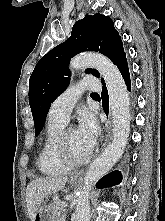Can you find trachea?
<instances>
[{"instance_id":"trachea-1","label":"trachea","mask_w":165,"mask_h":221,"mask_svg":"<svg viewBox=\"0 0 165 221\" xmlns=\"http://www.w3.org/2000/svg\"><path fill=\"white\" fill-rule=\"evenodd\" d=\"M93 95H97V93H92Z\"/></svg>"}]
</instances>
